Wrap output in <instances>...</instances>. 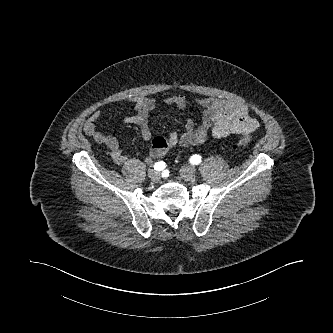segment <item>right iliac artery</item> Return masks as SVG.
I'll use <instances>...</instances> for the list:
<instances>
[{"instance_id": "1", "label": "right iliac artery", "mask_w": 333, "mask_h": 333, "mask_svg": "<svg viewBox=\"0 0 333 333\" xmlns=\"http://www.w3.org/2000/svg\"><path fill=\"white\" fill-rule=\"evenodd\" d=\"M164 167L163 162H158L154 164V169L155 170H161Z\"/></svg>"}]
</instances>
